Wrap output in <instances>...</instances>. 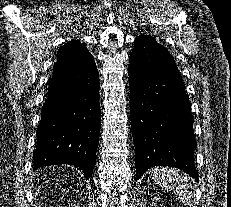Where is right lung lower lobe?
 <instances>
[{
	"mask_svg": "<svg viewBox=\"0 0 231 207\" xmlns=\"http://www.w3.org/2000/svg\"><path fill=\"white\" fill-rule=\"evenodd\" d=\"M99 75L93 56L70 71L54 65L41 110L34 169L70 164L92 175L100 134Z\"/></svg>",
	"mask_w": 231,
	"mask_h": 207,
	"instance_id": "98d812e1",
	"label": "right lung lower lobe"
}]
</instances>
